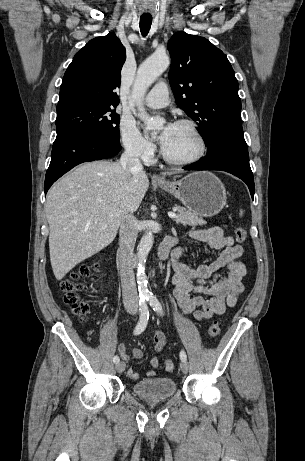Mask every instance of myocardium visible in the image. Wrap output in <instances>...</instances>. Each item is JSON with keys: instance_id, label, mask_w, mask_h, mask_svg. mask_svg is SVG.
<instances>
[{"instance_id": "f54148a6", "label": "myocardium", "mask_w": 305, "mask_h": 461, "mask_svg": "<svg viewBox=\"0 0 305 461\" xmlns=\"http://www.w3.org/2000/svg\"><path fill=\"white\" fill-rule=\"evenodd\" d=\"M175 125H181L184 127H187L188 129L191 130V132L194 134L198 141V151L196 154H194L192 157L186 158V159H176L170 157L162 148L161 149V155L162 158L169 164L172 165H177V166H188L197 163L200 161L206 154L207 151V144L204 135L198 128L197 124L191 120L187 119H181L178 120Z\"/></svg>"}]
</instances>
